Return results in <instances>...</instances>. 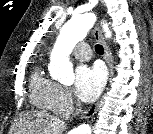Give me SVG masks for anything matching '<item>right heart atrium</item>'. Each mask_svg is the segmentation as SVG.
Listing matches in <instances>:
<instances>
[{
    "mask_svg": "<svg viewBox=\"0 0 153 134\" xmlns=\"http://www.w3.org/2000/svg\"><path fill=\"white\" fill-rule=\"evenodd\" d=\"M52 107L55 112L61 115H69L72 113L75 102L68 88L55 83Z\"/></svg>",
    "mask_w": 153,
    "mask_h": 134,
    "instance_id": "d8ad5b80",
    "label": "right heart atrium"
}]
</instances>
